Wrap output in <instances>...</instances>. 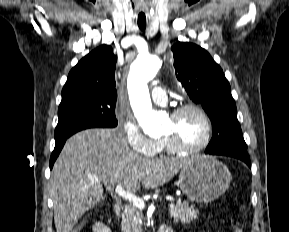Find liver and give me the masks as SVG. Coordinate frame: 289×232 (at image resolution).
Instances as JSON below:
<instances>
[{"mask_svg":"<svg viewBox=\"0 0 289 232\" xmlns=\"http://www.w3.org/2000/svg\"><path fill=\"white\" fill-rule=\"evenodd\" d=\"M187 159H149L130 150L117 129H87L71 136L54 163L50 188L57 232H70L98 204L103 185L135 193L170 181Z\"/></svg>","mask_w":289,"mask_h":232,"instance_id":"1","label":"liver"}]
</instances>
